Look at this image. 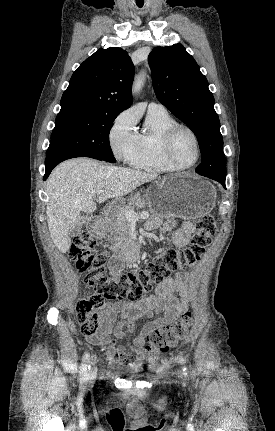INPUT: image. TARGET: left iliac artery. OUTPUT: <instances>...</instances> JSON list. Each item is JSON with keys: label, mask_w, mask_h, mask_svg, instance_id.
I'll return each instance as SVG.
<instances>
[{"label": "left iliac artery", "mask_w": 275, "mask_h": 431, "mask_svg": "<svg viewBox=\"0 0 275 431\" xmlns=\"http://www.w3.org/2000/svg\"><path fill=\"white\" fill-rule=\"evenodd\" d=\"M180 362H181V364H184V363H185V360H184V358H183V357H181V358H180ZM183 371H184V372H186V371H187L186 366H184V367H183Z\"/></svg>", "instance_id": "44dca946"}]
</instances>
